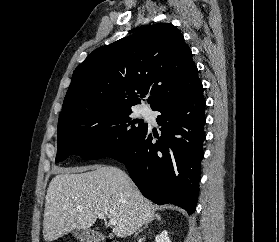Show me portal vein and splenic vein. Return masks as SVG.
Segmentation results:
<instances>
[{
	"label": "portal vein and splenic vein",
	"instance_id": "portal-vein-and-splenic-vein-1",
	"mask_svg": "<svg viewBox=\"0 0 279 242\" xmlns=\"http://www.w3.org/2000/svg\"><path fill=\"white\" fill-rule=\"evenodd\" d=\"M98 218H99V219H105V215L102 214V213H99V214H98ZM116 223H117L116 220H114V219H111V220H110V224H111V225L114 226V225H116Z\"/></svg>",
	"mask_w": 279,
	"mask_h": 242
}]
</instances>
